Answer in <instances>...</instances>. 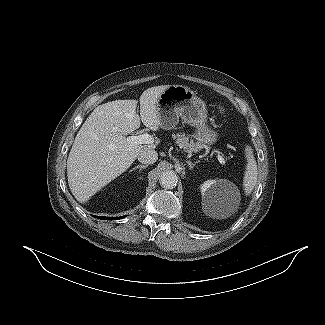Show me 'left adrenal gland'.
Segmentation results:
<instances>
[{
    "mask_svg": "<svg viewBox=\"0 0 325 325\" xmlns=\"http://www.w3.org/2000/svg\"><path fill=\"white\" fill-rule=\"evenodd\" d=\"M198 162H199V161H196L195 163H192L191 161H188L187 164H188V166H189V169H190V170L193 169L194 166H196V164H197Z\"/></svg>",
    "mask_w": 325,
    "mask_h": 325,
    "instance_id": "obj_1",
    "label": "left adrenal gland"
}]
</instances>
